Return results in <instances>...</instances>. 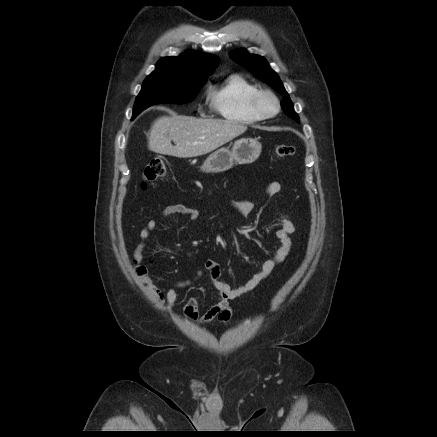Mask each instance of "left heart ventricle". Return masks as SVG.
<instances>
[{
    "mask_svg": "<svg viewBox=\"0 0 437 437\" xmlns=\"http://www.w3.org/2000/svg\"><path fill=\"white\" fill-rule=\"evenodd\" d=\"M263 108L268 112L272 113L275 110V104L272 99L265 98L262 102Z\"/></svg>",
    "mask_w": 437,
    "mask_h": 437,
    "instance_id": "b2bd125f",
    "label": "left heart ventricle"
}]
</instances>
